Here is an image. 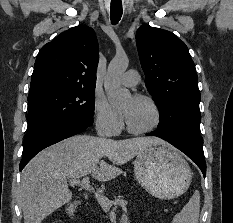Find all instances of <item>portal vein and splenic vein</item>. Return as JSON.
<instances>
[{
	"label": "portal vein and splenic vein",
	"instance_id": "18ae733b",
	"mask_svg": "<svg viewBox=\"0 0 233 223\" xmlns=\"http://www.w3.org/2000/svg\"><path fill=\"white\" fill-rule=\"evenodd\" d=\"M68 183L70 185H80V187H86V189H91L93 185H91L90 177H82V179H77V177H70L68 179ZM94 195L100 203V205H117V206H127L128 202L127 201H117V202H112L111 199H108L106 195H103V193H98V191H94Z\"/></svg>",
	"mask_w": 233,
	"mask_h": 223
}]
</instances>
